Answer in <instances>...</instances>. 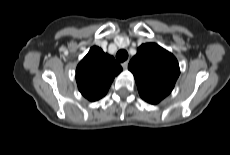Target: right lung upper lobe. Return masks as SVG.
<instances>
[{"instance_id":"1","label":"right lung upper lobe","mask_w":230,"mask_h":155,"mask_svg":"<svg viewBox=\"0 0 230 155\" xmlns=\"http://www.w3.org/2000/svg\"><path fill=\"white\" fill-rule=\"evenodd\" d=\"M121 71L122 67L114 57L94 46L77 66L78 89L89 101L99 100L106 95L114 77Z\"/></svg>"}]
</instances>
